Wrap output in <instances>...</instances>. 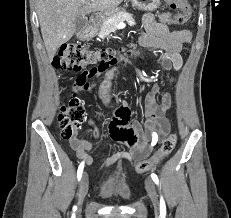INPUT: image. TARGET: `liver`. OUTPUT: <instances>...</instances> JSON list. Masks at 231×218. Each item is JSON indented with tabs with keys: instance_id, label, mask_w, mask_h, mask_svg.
<instances>
[{
	"instance_id": "6515ba94",
	"label": "liver",
	"mask_w": 231,
	"mask_h": 218,
	"mask_svg": "<svg viewBox=\"0 0 231 218\" xmlns=\"http://www.w3.org/2000/svg\"><path fill=\"white\" fill-rule=\"evenodd\" d=\"M123 0H36V10L48 57L51 60L58 48L76 32L78 16L100 11L112 15Z\"/></svg>"
}]
</instances>
